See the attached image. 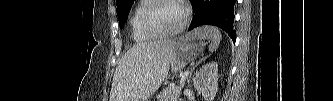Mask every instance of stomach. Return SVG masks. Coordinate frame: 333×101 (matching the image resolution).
Instances as JSON below:
<instances>
[{
    "instance_id": "1",
    "label": "stomach",
    "mask_w": 333,
    "mask_h": 101,
    "mask_svg": "<svg viewBox=\"0 0 333 101\" xmlns=\"http://www.w3.org/2000/svg\"><path fill=\"white\" fill-rule=\"evenodd\" d=\"M203 38L196 32L188 33L172 44L171 68L173 71H180L188 63L194 61L204 48Z\"/></svg>"
}]
</instances>
